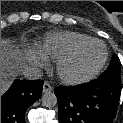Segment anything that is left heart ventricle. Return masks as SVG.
Instances as JSON below:
<instances>
[{"label":"left heart ventricle","mask_w":123,"mask_h":123,"mask_svg":"<svg viewBox=\"0 0 123 123\" xmlns=\"http://www.w3.org/2000/svg\"><path fill=\"white\" fill-rule=\"evenodd\" d=\"M102 57V46L97 43L89 44L67 63L65 70L71 75H85L99 64Z\"/></svg>","instance_id":"left-heart-ventricle-1"}]
</instances>
